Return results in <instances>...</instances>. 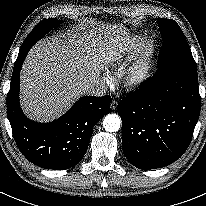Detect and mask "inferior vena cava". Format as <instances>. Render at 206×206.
Listing matches in <instances>:
<instances>
[{"mask_svg": "<svg viewBox=\"0 0 206 206\" xmlns=\"http://www.w3.org/2000/svg\"><path fill=\"white\" fill-rule=\"evenodd\" d=\"M107 85L103 80H97L89 85L86 89V93L92 96H103L106 94Z\"/></svg>", "mask_w": 206, "mask_h": 206, "instance_id": "inferior-vena-cava-1", "label": "inferior vena cava"}]
</instances>
